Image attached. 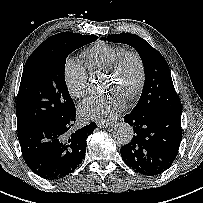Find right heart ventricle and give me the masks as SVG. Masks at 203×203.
I'll return each instance as SVG.
<instances>
[{
    "instance_id": "obj_1",
    "label": "right heart ventricle",
    "mask_w": 203,
    "mask_h": 203,
    "mask_svg": "<svg viewBox=\"0 0 203 203\" xmlns=\"http://www.w3.org/2000/svg\"><path fill=\"white\" fill-rule=\"evenodd\" d=\"M125 51V48L119 45L107 43H97L85 49L82 52L84 65L87 69L107 71L117 57Z\"/></svg>"
}]
</instances>
